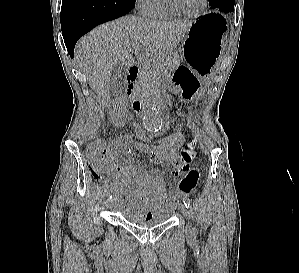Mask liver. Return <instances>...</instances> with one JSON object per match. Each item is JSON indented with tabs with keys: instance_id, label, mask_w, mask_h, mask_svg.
<instances>
[{
	"instance_id": "obj_1",
	"label": "liver",
	"mask_w": 299,
	"mask_h": 273,
	"mask_svg": "<svg viewBox=\"0 0 299 273\" xmlns=\"http://www.w3.org/2000/svg\"><path fill=\"white\" fill-rule=\"evenodd\" d=\"M192 24V21L122 17L100 25L82 37L75 47V60L83 69L91 89L103 103H107L112 96L109 79L118 62L130 68L134 64V53L137 55V45L145 50L142 57H167Z\"/></svg>"
}]
</instances>
